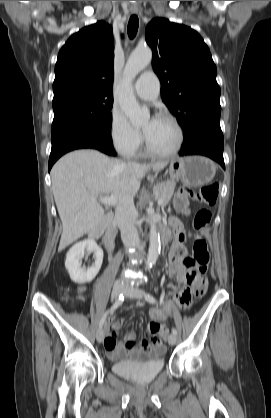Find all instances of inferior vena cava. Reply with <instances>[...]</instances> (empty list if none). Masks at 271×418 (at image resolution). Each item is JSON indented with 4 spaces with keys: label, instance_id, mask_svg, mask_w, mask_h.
Wrapping results in <instances>:
<instances>
[{
    "label": "inferior vena cava",
    "instance_id": "obj_1",
    "mask_svg": "<svg viewBox=\"0 0 271 418\" xmlns=\"http://www.w3.org/2000/svg\"><path fill=\"white\" fill-rule=\"evenodd\" d=\"M114 220L121 231V238L125 247H139L133 196L125 195L120 199L115 209Z\"/></svg>",
    "mask_w": 271,
    "mask_h": 418
}]
</instances>
